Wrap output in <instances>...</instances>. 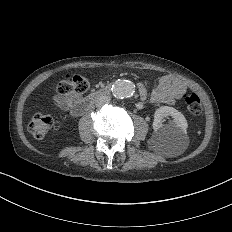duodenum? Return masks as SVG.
<instances>
[{"instance_id":"1","label":"duodenum","mask_w":232,"mask_h":232,"mask_svg":"<svg viewBox=\"0 0 232 232\" xmlns=\"http://www.w3.org/2000/svg\"><path fill=\"white\" fill-rule=\"evenodd\" d=\"M111 85H106L88 95L86 98L81 99L71 109V114L79 116L88 111L92 105L101 97L109 95L111 92Z\"/></svg>"}]
</instances>
